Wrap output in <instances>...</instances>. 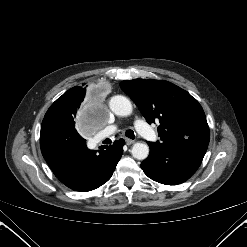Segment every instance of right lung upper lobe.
<instances>
[{"label":"right lung upper lobe","mask_w":247,"mask_h":247,"mask_svg":"<svg viewBox=\"0 0 247 247\" xmlns=\"http://www.w3.org/2000/svg\"><path fill=\"white\" fill-rule=\"evenodd\" d=\"M86 93V87H73L65 92L61 97L71 96L75 99L82 100Z\"/></svg>","instance_id":"right-lung-upper-lobe-1"}]
</instances>
